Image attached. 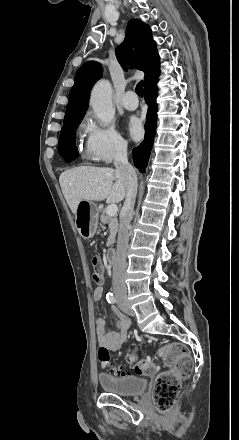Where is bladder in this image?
I'll return each mask as SVG.
<instances>
[{
	"label": "bladder",
	"instance_id": "bladder-1",
	"mask_svg": "<svg viewBox=\"0 0 239 440\" xmlns=\"http://www.w3.org/2000/svg\"><path fill=\"white\" fill-rule=\"evenodd\" d=\"M102 389L119 396H134L143 393L148 385L145 378L136 376H115L107 372L98 374Z\"/></svg>",
	"mask_w": 239,
	"mask_h": 440
}]
</instances>
